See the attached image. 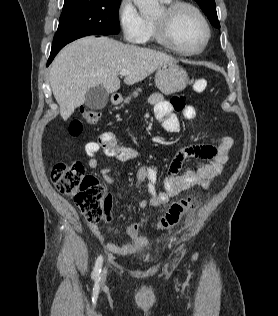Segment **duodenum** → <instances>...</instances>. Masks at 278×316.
I'll use <instances>...</instances> for the list:
<instances>
[{
  "instance_id": "obj_1",
  "label": "duodenum",
  "mask_w": 278,
  "mask_h": 316,
  "mask_svg": "<svg viewBox=\"0 0 278 316\" xmlns=\"http://www.w3.org/2000/svg\"><path fill=\"white\" fill-rule=\"evenodd\" d=\"M121 101V96L118 94H115L111 98L112 104H118Z\"/></svg>"
}]
</instances>
